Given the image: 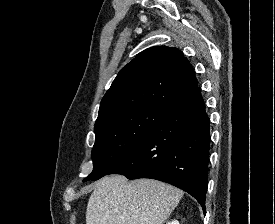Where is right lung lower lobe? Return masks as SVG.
<instances>
[{"mask_svg": "<svg viewBox=\"0 0 275 224\" xmlns=\"http://www.w3.org/2000/svg\"><path fill=\"white\" fill-rule=\"evenodd\" d=\"M210 121L199 87L168 108L146 138L109 174L151 178L192 195L204 213Z\"/></svg>", "mask_w": 275, "mask_h": 224, "instance_id": "right-lung-lower-lobe-1", "label": "right lung lower lobe"}]
</instances>
